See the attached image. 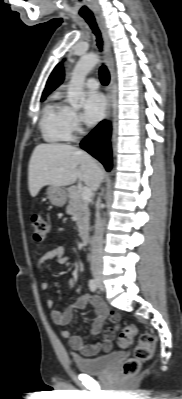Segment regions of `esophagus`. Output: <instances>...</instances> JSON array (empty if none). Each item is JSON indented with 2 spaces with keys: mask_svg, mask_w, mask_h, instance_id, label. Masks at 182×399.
Instances as JSON below:
<instances>
[{
  "mask_svg": "<svg viewBox=\"0 0 182 399\" xmlns=\"http://www.w3.org/2000/svg\"><path fill=\"white\" fill-rule=\"evenodd\" d=\"M100 25L101 29L103 32L104 36V42H105V54L107 57V63H108V69H109V74H110V82L107 87L106 91V97H107V108L106 112L104 115V119H109L111 115V110H112V89H113V84H114V57L112 53V48H111V41L108 35L107 28L105 27L104 23L102 20H100Z\"/></svg>",
  "mask_w": 182,
  "mask_h": 399,
  "instance_id": "obj_1",
  "label": "esophagus"
}]
</instances>
